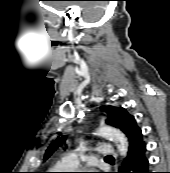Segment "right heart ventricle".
I'll return each instance as SVG.
<instances>
[{"instance_id":"1","label":"right heart ventricle","mask_w":170,"mask_h":173,"mask_svg":"<svg viewBox=\"0 0 170 173\" xmlns=\"http://www.w3.org/2000/svg\"><path fill=\"white\" fill-rule=\"evenodd\" d=\"M58 167L61 168V169H70V168H72V167L69 166L68 157L61 158L59 163H58Z\"/></svg>"}]
</instances>
